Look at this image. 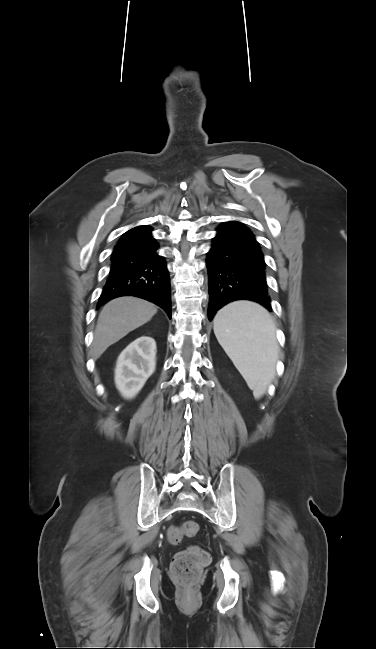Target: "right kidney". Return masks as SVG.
Segmentation results:
<instances>
[{
  "instance_id": "obj_1",
  "label": "right kidney",
  "mask_w": 376,
  "mask_h": 649,
  "mask_svg": "<svg viewBox=\"0 0 376 649\" xmlns=\"http://www.w3.org/2000/svg\"><path fill=\"white\" fill-rule=\"evenodd\" d=\"M156 366V343L141 336L130 343L119 355L115 369V384L123 397H135Z\"/></svg>"
}]
</instances>
